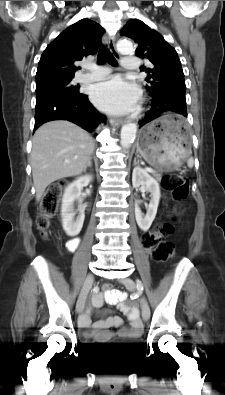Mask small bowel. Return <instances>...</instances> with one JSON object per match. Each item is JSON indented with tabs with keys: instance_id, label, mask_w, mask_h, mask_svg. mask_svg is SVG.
I'll return each mask as SVG.
<instances>
[{
	"instance_id": "small-bowel-1",
	"label": "small bowel",
	"mask_w": 225,
	"mask_h": 395,
	"mask_svg": "<svg viewBox=\"0 0 225 395\" xmlns=\"http://www.w3.org/2000/svg\"><path fill=\"white\" fill-rule=\"evenodd\" d=\"M79 240L77 238L71 239L67 243L69 250L73 251L78 246ZM104 301L109 304H114L124 312L129 321L130 327L122 329L120 334L122 336L133 337L141 332V325L139 321V312L136 308L130 307L125 302V296L118 290L112 289L111 292L98 293L93 297V306L100 307ZM80 327L83 329H91V331H83L81 333L83 338H95L98 341H105L111 336V332L108 330L110 327H118L122 324V319L117 316H109L103 320H99L95 323L91 322V309L87 310L80 319Z\"/></svg>"
}]
</instances>
